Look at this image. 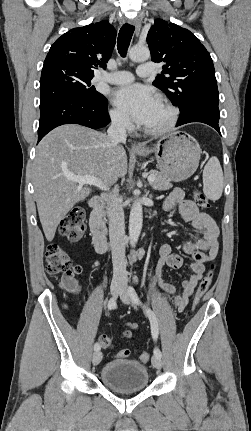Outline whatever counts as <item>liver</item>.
<instances>
[{"instance_id":"liver-1","label":"liver","mask_w":251,"mask_h":431,"mask_svg":"<svg viewBox=\"0 0 251 431\" xmlns=\"http://www.w3.org/2000/svg\"><path fill=\"white\" fill-rule=\"evenodd\" d=\"M127 166L124 148L104 133L77 124L48 133L37 146L32 175L46 239L53 240L60 221L92 192L68 176H93L110 186L125 177Z\"/></svg>"}]
</instances>
